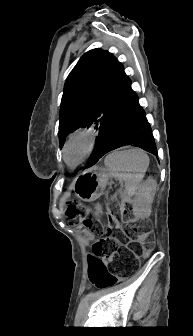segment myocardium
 <instances>
[{"instance_id":"obj_1","label":"myocardium","mask_w":193,"mask_h":336,"mask_svg":"<svg viewBox=\"0 0 193 336\" xmlns=\"http://www.w3.org/2000/svg\"><path fill=\"white\" fill-rule=\"evenodd\" d=\"M76 140H83L85 142V149L81 158L78 161L71 163L67 158V153L70 145ZM95 146H96V135L92 130L88 129L76 130L67 137L66 141L63 144L62 147L63 160L69 167H77L92 154V152L95 149Z\"/></svg>"}]
</instances>
